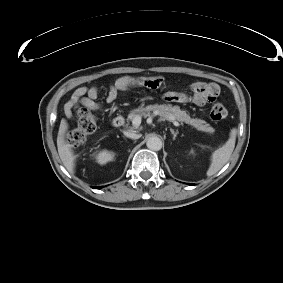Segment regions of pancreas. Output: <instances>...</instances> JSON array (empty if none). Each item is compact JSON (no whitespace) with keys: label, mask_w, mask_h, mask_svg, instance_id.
<instances>
[{"label":"pancreas","mask_w":283,"mask_h":283,"mask_svg":"<svg viewBox=\"0 0 283 283\" xmlns=\"http://www.w3.org/2000/svg\"><path fill=\"white\" fill-rule=\"evenodd\" d=\"M151 112H157L161 119L165 120H177L179 122H185L196 127L199 130L206 132H213V128L210 127L204 120L191 118L186 111L181 110L178 106L172 105H149L144 108H137L131 111L129 119L132 120L135 116H148Z\"/></svg>","instance_id":"1"}]
</instances>
